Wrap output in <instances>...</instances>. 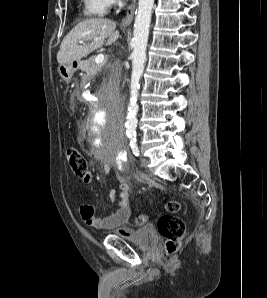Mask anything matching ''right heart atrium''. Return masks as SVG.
Here are the masks:
<instances>
[{
    "mask_svg": "<svg viewBox=\"0 0 267 298\" xmlns=\"http://www.w3.org/2000/svg\"><path fill=\"white\" fill-rule=\"evenodd\" d=\"M116 1L117 0H104L106 9L113 7L116 4Z\"/></svg>",
    "mask_w": 267,
    "mask_h": 298,
    "instance_id": "1",
    "label": "right heart atrium"
}]
</instances>
